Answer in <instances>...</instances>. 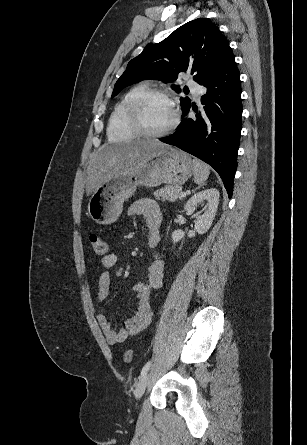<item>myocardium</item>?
Returning a JSON list of instances; mask_svg holds the SVG:
<instances>
[{"label":"myocardium","instance_id":"obj_1","mask_svg":"<svg viewBox=\"0 0 307 445\" xmlns=\"http://www.w3.org/2000/svg\"><path fill=\"white\" fill-rule=\"evenodd\" d=\"M156 98L166 100L167 102H169L171 104V106L174 109V117H173L171 124L161 132L150 131L147 128L145 121H144V117H143V110H144L145 105L150 100L156 99ZM131 115H132V121H133L134 127L136 128L138 134L143 136V137H141V140L142 139H159V138L168 136L177 128L179 119H180V113H179V110L177 109L174 101L170 98V96L168 94H166L165 92L160 91V90H148L146 93H144L133 105Z\"/></svg>","mask_w":307,"mask_h":445}]
</instances>
